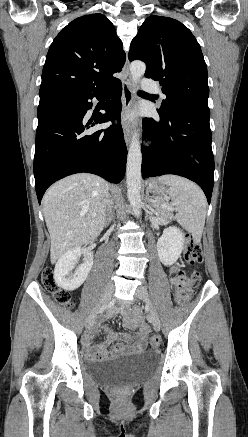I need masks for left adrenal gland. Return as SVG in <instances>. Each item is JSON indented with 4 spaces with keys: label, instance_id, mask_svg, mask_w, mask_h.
Returning a JSON list of instances; mask_svg holds the SVG:
<instances>
[{
    "label": "left adrenal gland",
    "instance_id": "a2214340",
    "mask_svg": "<svg viewBox=\"0 0 248 437\" xmlns=\"http://www.w3.org/2000/svg\"><path fill=\"white\" fill-rule=\"evenodd\" d=\"M146 201L148 202V204H149L150 206L155 207L154 204L150 201V198H149V194H148V192L146 193Z\"/></svg>",
    "mask_w": 248,
    "mask_h": 437
}]
</instances>
